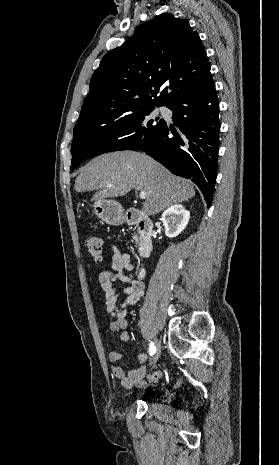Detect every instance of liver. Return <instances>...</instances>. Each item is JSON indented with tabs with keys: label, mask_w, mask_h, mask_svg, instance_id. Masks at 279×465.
Instances as JSON below:
<instances>
[{
	"label": "liver",
	"mask_w": 279,
	"mask_h": 465,
	"mask_svg": "<svg viewBox=\"0 0 279 465\" xmlns=\"http://www.w3.org/2000/svg\"><path fill=\"white\" fill-rule=\"evenodd\" d=\"M74 188L76 192L96 191L92 201L123 196L131 189L146 192L142 207L146 216L195 195L190 181L173 175L148 155L136 151H116L96 157L81 168Z\"/></svg>",
	"instance_id": "obj_1"
}]
</instances>
